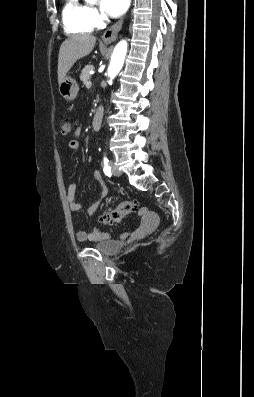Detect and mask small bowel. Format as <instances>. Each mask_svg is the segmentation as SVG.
<instances>
[{
    "label": "small bowel",
    "instance_id": "1",
    "mask_svg": "<svg viewBox=\"0 0 254 397\" xmlns=\"http://www.w3.org/2000/svg\"><path fill=\"white\" fill-rule=\"evenodd\" d=\"M79 134H80V128H77L75 131V136L78 137ZM69 148L73 151L78 150L79 141L77 139L70 140ZM92 177L96 181H98L100 185V197L92 205L85 208V212L89 215L94 214L98 210V208L100 207L103 200L106 198L108 194V188L102 181L100 171L93 170ZM66 197L69 203L70 210L72 212H80L81 210H83L82 204L76 200V185L74 183H71L69 185ZM140 214L145 219L146 223H148L149 220L151 219V214L146 209H143ZM76 238L80 242H89V241L97 242V241H103L109 239L110 235L108 233L101 232L98 228H94L91 232H86V231L76 232Z\"/></svg>",
    "mask_w": 254,
    "mask_h": 397
}]
</instances>
